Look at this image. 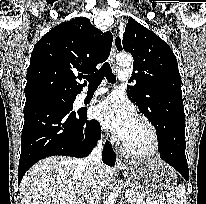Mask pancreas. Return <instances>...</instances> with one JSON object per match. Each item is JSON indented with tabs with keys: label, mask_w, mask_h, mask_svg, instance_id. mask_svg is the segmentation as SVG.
<instances>
[{
	"label": "pancreas",
	"mask_w": 206,
	"mask_h": 204,
	"mask_svg": "<svg viewBox=\"0 0 206 204\" xmlns=\"http://www.w3.org/2000/svg\"><path fill=\"white\" fill-rule=\"evenodd\" d=\"M129 190L133 192V195L128 196V204H149L148 202L144 201L141 195L137 193L133 188H129Z\"/></svg>",
	"instance_id": "1"
}]
</instances>
